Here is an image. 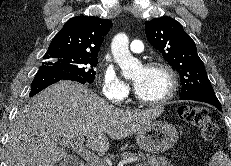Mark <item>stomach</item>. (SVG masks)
<instances>
[{
  "mask_svg": "<svg viewBox=\"0 0 231 166\" xmlns=\"http://www.w3.org/2000/svg\"><path fill=\"white\" fill-rule=\"evenodd\" d=\"M178 139L174 125L166 121H153L136 134V143L149 153H162L170 149Z\"/></svg>",
  "mask_w": 231,
  "mask_h": 166,
  "instance_id": "obj_1",
  "label": "stomach"
}]
</instances>
